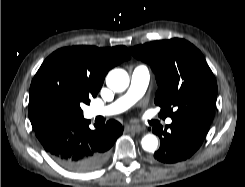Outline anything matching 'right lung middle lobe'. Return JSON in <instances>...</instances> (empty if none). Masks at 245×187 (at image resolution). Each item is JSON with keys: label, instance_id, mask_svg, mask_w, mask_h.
Segmentation results:
<instances>
[{"label": "right lung middle lobe", "instance_id": "right-lung-middle-lobe-1", "mask_svg": "<svg viewBox=\"0 0 245 187\" xmlns=\"http://www.w3.org/2000/svg\"><path fill=\"white\" fill-rule=\"evenodd\" d=\"M98 90L66 65L44 61L30 86L29 118L34 127L56 119L82 117L81 104H89Z\"/></svg>", "mask_w": 245, "mask_h": 187}]
</instances>
